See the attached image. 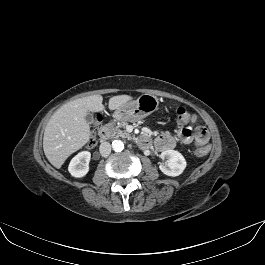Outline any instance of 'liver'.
Instances as JSON below:
<instances>
[{
  "mask_svg": "<svg viewBox=\"0 0 265 265\" xmlns=\"http://www.w3.org/2000/svg\"><path fill=\"white\" fill-rule=\"evenodd\" d=\"M130 95H117L109 99V109L115 110L130 101ZM101 95H93L60 107L46 125L43 137V150L49 162L61 168L65 160L82 148L90 139V127L85 120L87 112L104 110Z\"/></svg>",
  "mask_w": 265,
  "mask_h": 265,
  "instance_id": "liver-1",
  "label": "liver"
}]
</instances>
